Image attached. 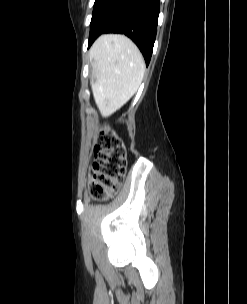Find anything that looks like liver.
<instances>
[{
    "mask_svg": "<svg viewBox=\"0 0 247 304\" xmlns=\"http://www.w3.org/2000/svg\"><path fill=\"white\" fill-rule=\"evenodd\" d=\"M92 93L103 117L119 110L137 91L145 64L137 46L126 36H100L90 49Z\"/></svg>",
    "mask_w": 247,
    "mask_h": 304,
    "instance_id": "6515ba94",
    "label": "liver"
}]
</instances>
